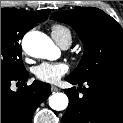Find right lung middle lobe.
<instances>
[{
    "instance_id": "obj_1",
    "label": "right lung middle lobe",
    "mask_w": 123,
    "mask_h": 123,
    "mask_svg": "<svg viewBox=\"0 0 123 123\" xmlns=\"http://www.w3.org/2000/svg\"><path fill=\"white\" fill-rule=\"evenodd\" d=\"M35 25L32 21L21 20L11 10L1 9V77L10 78L26 73L21 60L22 49L19 41Z\"/></svg>"
}]
</instances>
